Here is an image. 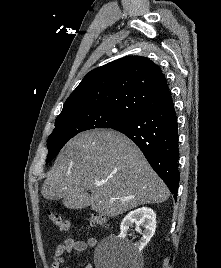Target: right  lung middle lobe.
<instances>
[{
  "mask_svg": "<svg viewBox=\"0 0 221 268\" xmlns=\"http://www.w3.org/2000/svg\"><path fill=\"white\" fill-rule=\"evenodd\" d=\"M128 120L126 116L106 109L60 114L55 121V129L48 137L46 163L51 161L67 141L78 133L95 128H112Z\"/></svg>",
  "mask_w": 221,
  "mask_h": 268,
  "instance_id": "right-lung-middle-lobe-1",
  "label": "right lung middle lobe"
}]
</instances>
